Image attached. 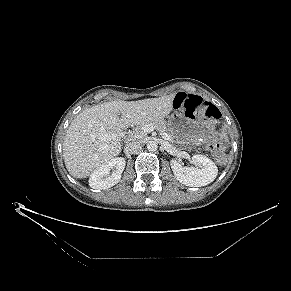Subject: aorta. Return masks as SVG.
<instances>
[{
	"instance_id": "aorta-1",
	"label": "aorta",
	"mask_w": 291,
	"mask_h": 291,
	"mask_svg": "<svg viewBox=\"0 0 291 291\" xmlns=\"http://www.w3.org/2000/svg\"><path fill=\"white\" fill-rule=\"evenodd\" d=\"M158 148V144L156 141L154 140H150L148 143H147V149L149 151H156Z\"/></svg>"
}]
</instances>
